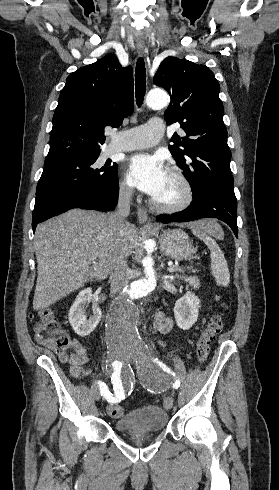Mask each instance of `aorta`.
Masks as SVG:
<instances>
[{
	"label": "aorta",
	"mask_w": 279,
	"mask_h": 490,
	"mask_svg": "<svg viewBox=\"0 0 279 490\" xmlns=\"http://www.w3.org/2000/svg\"><path fill=\"white\" fill-rule=\"evenodd\" d=\"M170 102L168 94L161 90H152L146 98V104L152 109H161ZM146 246L151 240L146 241ZM145 277L131 283L123 297L112 302L106 316V336L111 344L133 345L140 342L138 333V312L134 299L152 292L156 287L154 261L150 256L142 260Z\"/></svg>",
	"instance_id": "obj_1"
}]
</instances>
